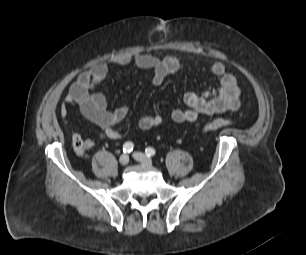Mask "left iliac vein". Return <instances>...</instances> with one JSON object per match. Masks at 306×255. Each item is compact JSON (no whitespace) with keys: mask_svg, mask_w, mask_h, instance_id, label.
I'll use <instances>...</instances> for the list:
<instances>
[{"mask_svg":"<svg viewBox=\"0 0 306 255\" xmlns=\"http://www.w3.org/2000/svg\"><path fill=\"white\" fill-rule=\"evenodd\" d=\"M133 157L145 166L152 167L153 165L152 160L148 156H146L144 153L134 152Z\"/></svg>","mask_w":306,"mask_h":255,"instance_id":"obj_1","label":"left iliac vein"}]
</instances>
